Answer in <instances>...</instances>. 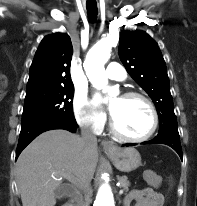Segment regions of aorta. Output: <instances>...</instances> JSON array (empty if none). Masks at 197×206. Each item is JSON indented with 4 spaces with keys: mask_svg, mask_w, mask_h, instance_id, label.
Listing matches in <instances>:
<instances>
[{
    "mask_svg": "<svg viewBox=\"0 0 197 206\" xmlns=\"http://www.w3.org/2000/svg\"><path fill=\"white\" fill-rule=\"evenodd\" d=\"M111 47L109 39L102 38L90 49L84 61L86 75L97 89H106L108 80L104 65L110 58ZM93 206H115V199L109 184L100 185Z\"/></svg>",
    "mask_w": 197,
    "mask_h": 206,
    "instance_id": "1",
    "label": "aorta"
}]
</instances>
